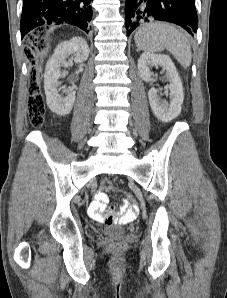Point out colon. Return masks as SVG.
Instances as JSON below:
<instances>
[{"label":"colon","instance_id":"obj_1","mask_svg":"<svg viewBox=\"0 0 227 298\" xmlns=\"http://www.w3.org/2000/svg\"><path fill=\"white\" fill-rule=\"evenodd\" d=\"M35 35H29L27 38V42L24 46V54L25 56L31 60L33 63L36 62L37 55L43 53L47 49V44L45 41H36ZM28 112L30 123L34 127H40L44 122V113H45V105L43 96L41 94V83H40V75L37 68H34L30 75L29 85H28ZM101 190L111 191L113 189L112 183L108 180L103 181L100 186ZM113 194H119V189H113ZM126 206L139 207V202H134V199L131 195H127V199L124 202ZM108 223H116L117 219L110 216L107 218ZM109 250L112 252H121L126 249V244L123 242L115 241L109 244Z\"/></svg>","mask_w":227,"mask_h":298}]
</instances>
